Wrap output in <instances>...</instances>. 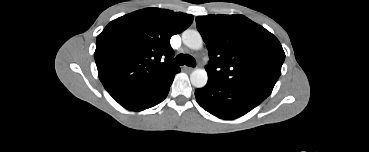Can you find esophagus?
<instances>
[{"label": "esophagus", "mask_w": 369, "mask_h": 152, "mask_svg": "<svg viewBox=\"0 0 369 152\" xmlns=\"http://www.w3.org/2000/svg\"><path fill=\"white\" fill-rule=\"evenodd\" d=\"M183 70L186 71V72H191V71L194 70V68L188 67V66H183Z\"/></svg>", "instance_id": "obj_1"}]
</instances>
